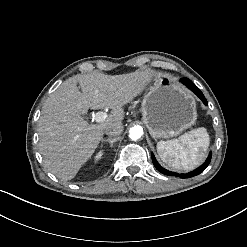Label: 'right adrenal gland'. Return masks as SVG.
<instances>
[{
    "label": "right adrenal gland",
    "instance_id": "1",
    "mask_svg": "<svg viewBox=\"0 0 247 247\" xmlns=\"http://www.w3.org/2000/svg\"><path fill=\"white\" fill-rule=\"evenodd\" d=\"M101 142H108L110 144V147H113V144L116 142V139L115 138H107V139L102 138Z\"/></svg>",
    "mask_w": 247,
    "mask_h": 247
}]
</instances>
